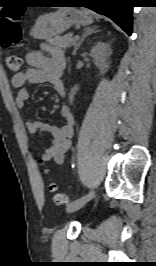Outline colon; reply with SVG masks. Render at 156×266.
<instances>
[{
	"instance_id": "5ec220e1",
	"label": "colon",
	"mask_w": 156,
	"mask_h": 266,
	"mask_svg": "<svg viewBox=\"0 0 156 266\" xmlns=\"http://www.w3.org/2000/svg\"><path fill=\"white\" fill-rule=\"evenodd\" d=\"M22 11L14 10L11 13L7 14L0 21V30H1V43L5 47L12 46L17 44L22 35L20 24L18 23L21 18ZM7 69L11 72H18L22 66V59L16 54H9L5 59ZM48 174L49 171L45 170ZM51 192H56L57 186L55 183L49 185ZM54 201L58 205H63L67 203V197L63 193H55Z\"/></svg>"
}]
</instances>
